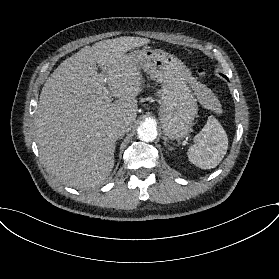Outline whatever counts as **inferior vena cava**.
I'll use <instances>...</instances> for the list:
<instances>
[{
	"instance_id": "obj_1",
	"label": "inferior vena cava",
	"mask_w": 279,
	"mask_h": 279,
	"mask_svg": "<svg viewBox=\"0 0 279 279\" xmlns=\"http://www.w3.org/2000/svg\"><path fill=\"white\" fill-rule=\"evenodd\" d=\"M129 129L125 124H117L113 129H112V136L115 139L121 138L124 136Z\"/></svg>"
}]
</instances>
